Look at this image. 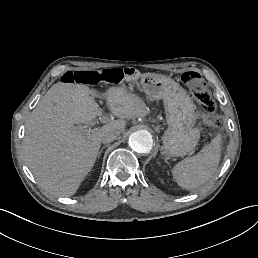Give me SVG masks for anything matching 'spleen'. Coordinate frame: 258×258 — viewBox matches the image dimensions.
Wrapping results in <instances>:
<instances>
[{"label":"spleen","mask_w":258,"mask_h":258,"mask_svg":"<svg viewBox=\"0 0 258 258\" xmlns=\"http://www.w3.org/2000/svg\"><path fill=\"white\" fill-rule=\"evenodd\" d=\"M221 156V135L192 157L176 164L172 174L177 184L187 190H194L208 182L218 168Z\"/></svg>","instance_id":"spleen-1"}]
</instances>
